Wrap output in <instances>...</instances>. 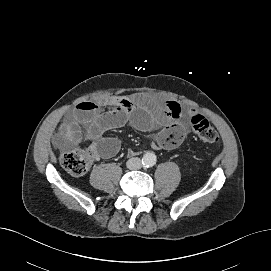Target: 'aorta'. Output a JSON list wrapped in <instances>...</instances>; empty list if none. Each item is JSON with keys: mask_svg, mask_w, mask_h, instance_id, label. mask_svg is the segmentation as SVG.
<instances>
[{"mask_svg": "<svg viewBox=\"0 0 271 271\" xmlns=\"http://www.w3.org/2000/svg\"><path fill=\"white\" fill-rule=\"evenodd\" d=\"M143 165L153 166L156 163V156L153 153H146L142 158Z\"/></svg>", "mask_w": 271, "mask_h": 271, "instance_id": "1", "label": "aorta"}]
</instances>
